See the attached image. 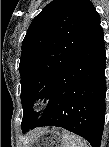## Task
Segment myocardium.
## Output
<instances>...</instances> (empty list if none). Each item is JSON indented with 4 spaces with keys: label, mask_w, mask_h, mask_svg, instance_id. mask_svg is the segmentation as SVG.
I'll return each instance as SVG.
<instances>
[{
    "label": "myocardium",
    "mask_w": 109,
    "mask_h": 147,
    "mask_svg": "<svg viewBox=\"0 0 109 147\" xmlns=\"http://www.w3.org/2000/svg\"><path fill=\"white\" fill-rule=\"evenodd\" d=\"M38 105H39V101L38 100L33 102V107H38Z\"/></svg>",
    "instance_id": "myocardium-1"
}]
</instances>
